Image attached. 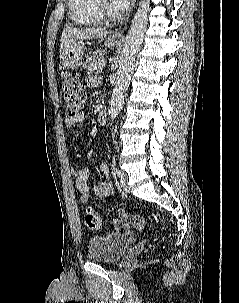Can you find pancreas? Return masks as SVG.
Segmentation results:
<instances>
[{"label": "pancreas", "mask_w": 239, "mask_h": 303, "mask_svg": "<svg viewBox=\"0 0 239 303\" xmlns=\"http://www.w3.org/2000/svg\"><path fill=\"white\" fill-rule=\"evenodd\" d=\"M104 52L102 50L95 51L86 61L84 62V68L90 73H98L102 70L99 63L104 60Z\"/></svg>", "instance_id": "1"}]
</instances>
